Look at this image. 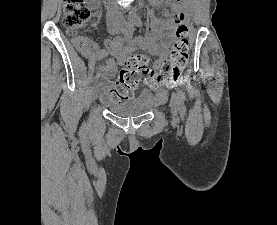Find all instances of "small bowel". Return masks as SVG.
Instances as JSON below:
<instances>
[{
	"label": "small bowel",
	"instance_id": "obj_1",
	"mask_svg": "<svg viewBox=\"0 0 277 225\" xmlns=\"http://www.w3.org/2000/svg\"><path fill=\"white\" fill-rule=\"evenodd\" d=\"M149 2L156 8L163 7L165 0H149ZM172 8L177 9L180 6L177 3L171 2ZM89 6L95 10H99V3L97 0H89ZM174 38V26L172 18L169 13H166L165 19L150 16V33L144 37H137L129 41V47L144 50L157 57L154 67L158 69L165 61L169 44ZM125 40L114 39L105 41V49L97 52L91 56L88 53H83L84 57L90 63H96L106 58L108 55L113 56L109 58L103 65H99L95 73V81L98 83L100 89L104 92L110 85L112 78L117 70V62H122L126 58L128 49L123 47ZM147 85L155 91L156 101H164L167 96V89L158 88L152 78L147 79Z\"/></svg>",
	"mask_w": 277,
	"mask_h": 225
}]
</instances>
